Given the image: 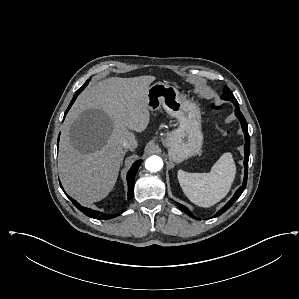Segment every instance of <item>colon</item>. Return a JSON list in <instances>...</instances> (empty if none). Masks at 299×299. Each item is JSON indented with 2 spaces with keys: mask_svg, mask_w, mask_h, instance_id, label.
I'll list each match as a JSON object with an SVG mask.
<instances>
[{
  "mask_svg": "<svg viewBox=\"0 0 299 299\" xmlns=\"http://www.w3.org/2000/svg\"><path fill=\"white\" fill-rule=\"evenodd\" d=\"M212 108H213L214 110H219V109H220V105H218V104H216V103H213V104H212ZM221 134H222V136L225 137V138H229V137L231 136V132H230L229 130H227V129H222V130H221Z\"/></svg>",
  "mask_w": 299,
  "mask_h": 299,
  "instance_id": "obj_1",
  "label": "colon"
}]
</instances>
